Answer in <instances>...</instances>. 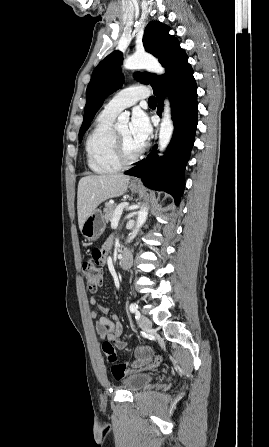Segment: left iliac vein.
I'll use <instances>...</instances> for the list:
<instances>
[{"mask_svg": "<svg viewBox=\"0 0 269 447\" xmlns=\"http://www.w3.org/2000/svg\"><path fill=\"white\" fill-rule=\"evenodd\" d=\"M138 324L140 327H142L145 331L150 329L152 327V323L150 319L144 315H141L138 320Z\"/></svg>", "mask_w": 269, "mask_h": 447, "instance_id": "4c4485c4", "label": "left iliac vein"}]
</instances>
